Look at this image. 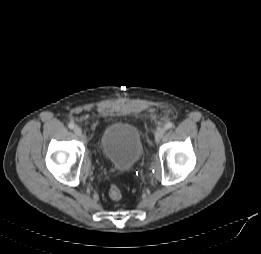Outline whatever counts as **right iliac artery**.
Here are the masks:
<instances>
[{"label":"right iliac artery","mask_w":261,"mask_h":254,"mask_svg":"<svg viewBox=\"0 0 261 254\" xmlns=\"http://www.w3.org/2000/svg\"><path fill=\"white\" fill-rule=\"evenodd\" d=\"M68 127H69L70 129H73V128H74V123L70 122V123L68 124Z\"/></svg>","instance_id":"82829eb1"}]
</instances>
